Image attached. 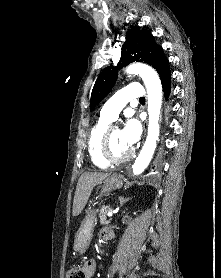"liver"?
Returning <instances> with one entry per match:
<instances>
[{
	"instance_id": "obj_1",
	"label": "liver",
	"mask_w": 221,
	"mask_h": 278,
	"mask_svg": "<svg viewBox=\"0 0 221 278\" xmlns=\"http://www.w3.org/2000/svg\"><path fill=\"white\" fill-rule=\"evenodd\" d=\"M108 176L110 174L101 172H85L81 175L77 183L73 201L72 214L74 217L78 216L84 209L93 188Z\"/></svg>"
}]
</instances>
